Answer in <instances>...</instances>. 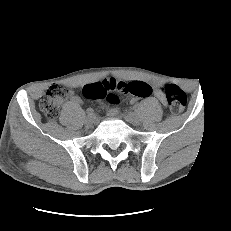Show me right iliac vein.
Masks as SVG:
<instances>
[{
    "label": "right iliac vein",
    "mask_w": 231,
    "mask_h": 231,
    "mask_svg": "<svg viewBox=\"0 0 231 231\" xmlns=\"http://www.w3.org/2000/svg\"><path fill=\"white\" fill-rule=\"evenodd\" d=\"M86 125H93L96 123V117L94 115H88L85 120Z\"/></svg>",
    "instance_id": "obj_1"
}]
</instances>
